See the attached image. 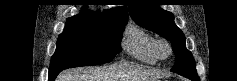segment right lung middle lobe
Returning a JSON list of instances; mask_svg holds the SVG:
<instances>
[{
	"mask_svg": "<svg viewBox=\"0 0 237 81\" xmlns=\"http://www.w3.org/2000/svg\"><path fill=\"white\" fill-rule=\"evenodd\" d=\"M126 24L67 21L51 58L49 73L109 63L121 51L120 41Z\"/></svg>",
	"mask_w": 237,
	"mask_h": 81,
	"instance_id": "obj_1",
	"label": "right lung middle lobe"
}]
</instances>
